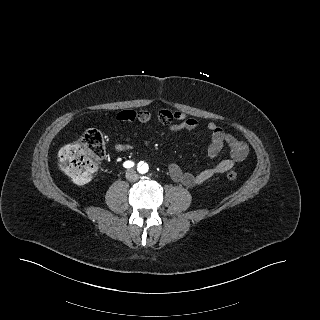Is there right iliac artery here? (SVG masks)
Here are the masks:
<instances>
[{"instance_id":"right-iliac-artery-1","label":"right iliac artery","mask_w":320,"mask_h":320,"mask_svg":"<svg viewBox=\"0 0 320 320\" xmlns=\"http://www.w3.org/2000/svg\"><path fill=\"white\" fill-rule=\"evenodd\" d=\"M123 166L125 167V168H131V167H133L134 166V162H132V161H125L124 163H123Z\"/></svg>"}]
</instances>
